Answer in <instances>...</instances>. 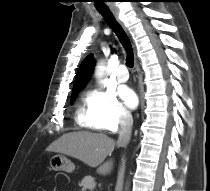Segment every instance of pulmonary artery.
I'll return each instance as SVG.
<instances>
[{
  "instance_id": "obj_1",
  "label": "pulmonary artery",
  "mask_w": 210,
  "mask_h": 191,
  "mask_svg": "<svg viewBox=\"0 0 210 191\" xmlns=\"http://www.w3.org/2000/svg\"><path fill=\"white\" fill-rule=\"evenodd\" d=\"M117 80L121 83L126 82L129 78L128 70L126 66L120 65L117 70Z\"/></svg>"
}]
</instances>
